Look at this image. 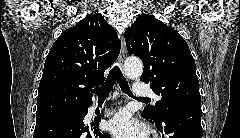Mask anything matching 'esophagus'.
Returning a JSON list of instances; mask_svg holds the SVG:
<instances>
[{
    "mask_svg": "<svg viewBox=\"0 0 240 138\" xmlns=\"http://www.w3.org/2000/svg\"><path fill=\"white\" fill-rule=\"evenodd\" d=\"M125 55H126V44H125L124 38H122L121 50H120V54H119V58H118V64L121 67V69L123 68Z\"/></svg>",
    "mask_w": 240,
    "mask_h": 138,
    "instance_id": "34e87169",
    "label": "esophagus"
}]
</instances>
